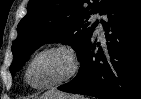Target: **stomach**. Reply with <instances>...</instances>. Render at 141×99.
<instances>
[{
  "instance_id": "1",
  "label": "stomach",
  "mask_w": 141,
  "mask_h": 99,
  "mask_svg": "<svg viewBox=\"0 0 141 99\" xmlns=\"http://www.w3.org/2000/svg\"><path fill=\"white\" fill-rule=\"evenodd\" d=\"M40 99H51L50 95H43Z\"/></svg>"
}]
</instances>
